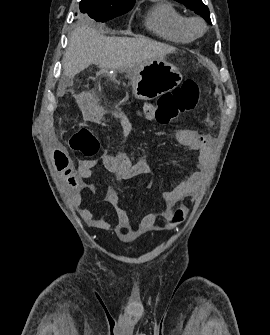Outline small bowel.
I'll return each instance as SVG.
<instances>
[{
  "instance_id": "1",
  "label": "small bowel",
  "mask_w": 270,
  "mask_h": 335,
  "mask_svg": "<svg viewBox=\"0 0 270 335\" xmlns=\"http://www.w3.org/2000/svg\"><path fill=\"white\" fill-rule=\"evenodd\" d=\"M105 115H109L119 122L122 141L126 144L132 135V126L126 115L119 109L114 108L109 111L99 112L95 117L101 118ZM178 136L180 138L186 137L184 143L191 150L199 153V170L193 172L173 189L162 193L165 208L160 212L146 214L139 223L142 230L150 229L160 217H169L172 207L187 199L203 180L204 170L210 157L212 138L208 135L187 132L185 130H180ZM47 150L59 151L60 145L48 144ZM47 159L48 161H56L58 165L55 168L56 173H61V177L66 178L68 185L72 188L73 203L78 208L81 218L92 228L102 231L112 229L113 224L111 221L106 218H98L92 210L80 207L82 201L81 192L89 188L85 180L91 176L96 161L86 159L78 162L77 158H73V154H48ZM102 160L107 170L113 173L120 181H126L138 175L149 174L151 172L150 165L146 160L140 159L133 162L123 150L114 154L105 153L102 155ZM105 199L115 211L117 218L115 230L117 235L124 236L128 234L131 231V221L127 211L120 205L119 193L114 188L109 187L106 190Z\"/></svg>"
}]
</instances>
